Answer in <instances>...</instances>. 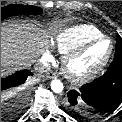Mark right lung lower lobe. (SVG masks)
<instances>
[{
  "label": "right lung lower lobe",
  "mask_w": 122,
  "mask_h": 122,
  "mask_svg": "<svg viewBox=\"0 0 122 122\" xmlns=\"http://www.w3.org/2000/svg\"><path fill=\"white\" fill-rule=\"evenodd\" d=\"M30 75H32V73L29 72L28 70H22L13 75H10L6 78H1V91L6 90L11 87H16V86L22 85L23 83H25L27 77ZM24 98H25L24 92H21L17 96V99L15 100L16 101L15 106L13 107V110L10 113L11 117L16 116L18 114V111H20L23 108ZM1 114H3V113H1Z\"/></svg>",
  "instance_id": "obj_1"
}]
</instances>
